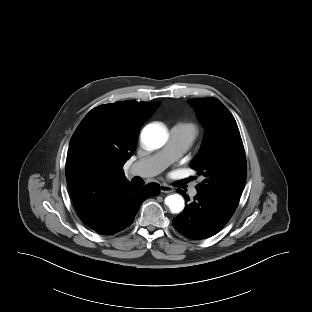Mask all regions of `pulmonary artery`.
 Returning <instances> with one entry per match:
<instances>
[{
  "label": "pulmonary artery",
  "mask_w": 312,
  "mask_h": 312,
  "mask_svg": "<svg viewBox=\"0 0 312 312\" xmlns=\"http://www.w3.org/2000/svg\"><path fill=\"white\" fill-rule=\"evenodd\" d=\"M193 138L189 132L180 126H174L165 147L158 153L136 161L132 166L135 175L146 178L162 172L170 163L178 159L191 145ZM197 190L192 188L190 195L195 196Z\"/></svg>",
  "instance_id": "1"
}]
</instances>
